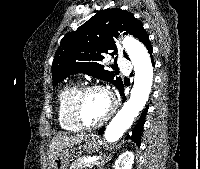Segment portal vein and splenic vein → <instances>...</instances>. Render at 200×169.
I'll use <instances>...</instances> for the list:
<instances>
[{"mask_svg":"<svg viewBox=\"0 0 200 169\" xmlns=\"http://www.w3.org/2000/svg\"><path fill=\"white\" fill-rule=\"evenodd\" d=\"M87 162H90V163H93V164H98L99 163L97 159L96 160H88Z\"/></svg>","mask_w":200,"mask_h":169,"instance_id":"18ae733b","label":"portal vein and splenic vein"}]
</instances>
